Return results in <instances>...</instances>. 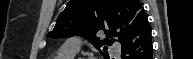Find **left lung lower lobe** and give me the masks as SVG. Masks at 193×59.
<instances>
[{
	"mask_svg": "<svg viewBox=\"0 0 193 59\" xmlns=\"http://www.w3.org/2000/svg\"><path fill=\"white\" fill-rule=\"evenodd\" d=\"M119 42L122 59H153L151 27L145 11L136 16Z\"/></svg>",
	"mask_w": 193,
	"mask_h": 59,
	"instance_id": "left-lung-lower-lobe-1",
	"label": "left lung lower lobe"
}]
</instances>
